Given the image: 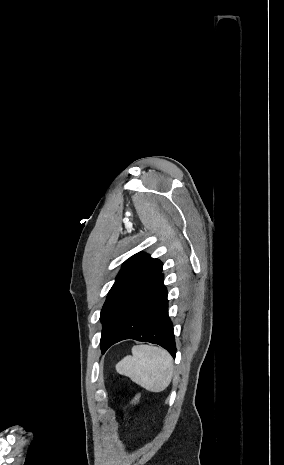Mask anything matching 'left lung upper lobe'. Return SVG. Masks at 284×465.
<instances>
[{
	"mask_svg": "<svg viewBox=\"0 0 284 465\" xmlns=\"http://www.w3.org/2000/svg\"><path fill=\"white\" fill-rule=\"evenodd\" d=\"M162 266L160 260L145 253L135 254L124 262L101 310V346L121 310L161 274Z\"/></svg>",
	"mask_w": 284,
	"mask_h": 465,
	"instance_id": "left-lung-upper-lobe-1",
	"label": "left lung upper lobe"
}]
</instances>
